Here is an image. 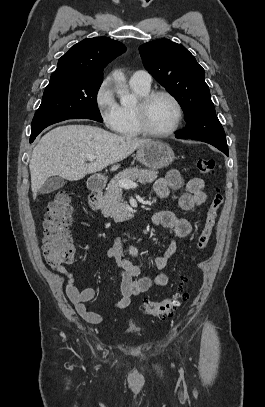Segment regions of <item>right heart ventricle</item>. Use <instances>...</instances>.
Segmentation results:
<instances>
[{"label":"right heart ventricle","instance_id":"obj_1","mask_svg":"<svg viewBox=\"0 0 265 407\" xmlns=\"http://www.w3.org/2000/svg\"><path fill=\"white\" fill-rule=\"evenodd\" d=\"M131 87L134 93L140 98L150 91V87H142L134 84H131ZM115 131L124 138H136L141 135L136 126L134 107L120 106V121Z\"/></svg>","mask_w":265,"mask_h":407}]
</instances>
